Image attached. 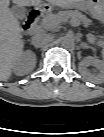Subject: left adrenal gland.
I'll use <instances>...</instances> for the list:
<instances>
[{
    "mask_svg": "<svg viewBox=\"0 0 104 137\" xmlns=\"http://www.w3.org/2000/svg\"><path fill=\"white\" fill-rule=\"evenodd\" d=\"M80 47H81V48H84V49L89 48V46H87V45H85V44H81Z\"/></svg>",
    "mask_w": 104,
    "mask_h": 137,
    "instance_id": "a2214340",
    "label": "left adrenal gland"
}]
</instances>
